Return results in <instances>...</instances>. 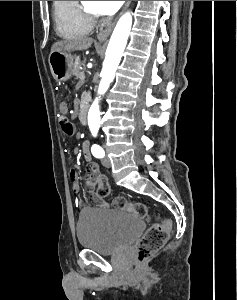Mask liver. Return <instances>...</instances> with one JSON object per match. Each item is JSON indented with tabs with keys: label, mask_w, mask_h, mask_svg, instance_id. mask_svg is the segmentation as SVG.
<instances>
[{
	"label": "liver",
	"mask_w": 237,
	"mask_h": 300,
	"mask_svg": "<svg viewBox=\"0 0 237 300\" xmlns=\"http://www.w3.org/2000/svg\"><path fill=\"white\" fill-rule=\"evenodd\" d=\"M92 43L91 37H83V39H76V41H58L51 47V53L54 51H86Z\"/></svg>",
	"instance_id": "6515ba94"
}]
</instances>
